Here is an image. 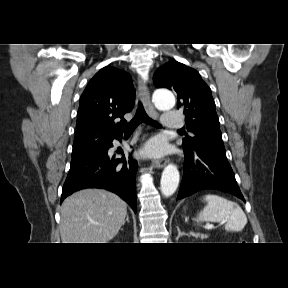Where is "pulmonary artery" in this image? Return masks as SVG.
<instances>
[{"label":"pulmonary artery","mask_w":288,"mask_h":288,"mask_svg":"<svg viewBox=\"0 0 288 288\" xmlns=\"http://www.w3.org/2000/svg\"><path fill=\"white\" fill-rule=\"evenodd\" d=\"M162 126L168 129H179L183 126V117L179 112L166 111L163 114Z\"/></svg>","instance_id":"obj_1"}]
</instances>
